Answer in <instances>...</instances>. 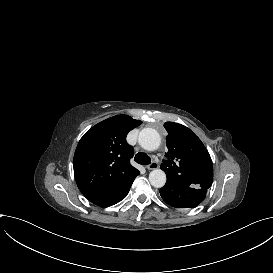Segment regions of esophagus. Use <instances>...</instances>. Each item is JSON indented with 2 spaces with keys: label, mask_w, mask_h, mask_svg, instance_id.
<instances>
[{
  "label": "esophagus",
  "mask_w": 273,
  "mask_h": 273,
  "mask_svg": "<svg viewBox=\"0 0 273 273\" xmlns=\"http://www.w3.org/2000/svg\"><path fill=\"white\" fill-rule=\"evenodd\" d=\"M158 166H159L158 162L153 161L152 163H150V164L147 166V169H149V170L157 169Z\"/></svg>",
  "instance_id": "34e87169"
}]
</instances>
